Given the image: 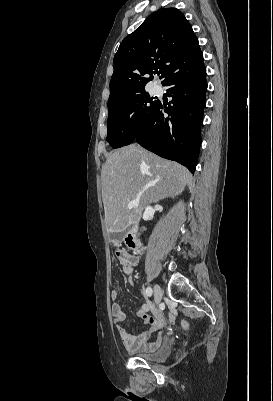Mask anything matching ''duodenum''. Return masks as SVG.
I'll return each instance as SVG.
<instances>
[{"label": "duodenum", "mask_w": 273, "mask_h": 401, "mask_svg": "<svg viewBox=\"0 0 273 401\" xmlns=\"http://www.w3.org/2000/svg\"><path fill=\"white\" fill-rule=\"evenodd\" d=\"M137 230H138L137 225L132 226L128 231V233L126 234L125 242L129 248H131L137 253H140L142 250V246L136 238Z\"/></svg>", "instance_id": "duodenum-1"}]
</instances>
